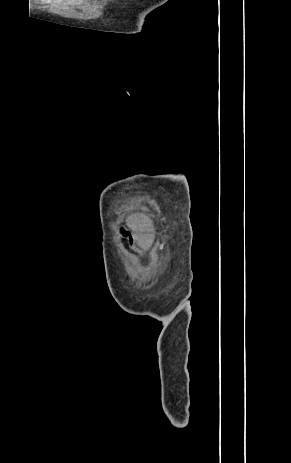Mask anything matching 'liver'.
Segmentation results:
<instances>
[{
	"label": "liver",
	"instance_id": "6515ba94",
	"mask_svg": "<svg viewBox=\"0 0 291 463\" xmlns=\"http://www.w3.org/2000/svg\"><path fill=\"white\" fill-rule=\"evenodd\" d=\"M130 228L136 233L139 245L149 249L154 242V224L151 218L144 213H135L127 217Z\"/></svg>",
	"mask_w": 291,
	"mask_h": 463
}]
</instances>
